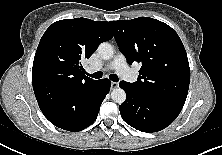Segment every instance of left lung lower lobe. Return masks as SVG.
I'll return each instance as SVG.
<instances>
[{
    "mask_svg": "<svg viewBox=\"0 0 222 155\" xmlns=\"http://www.w3.org/2000/svg\"><path fill=\"white\" fill-rule=\"evenodd\" d=\"M119 86L127 95L126 101L119 106L121 117L139 131H160L169 126L182 110L176 105L141 94L125 81H121Z\"/></svg>",
    "mask_w": 222,
    "mask_h": 155,
    "instance_id": "1",
    "label": "left lung lower lobe"
}]
</instances>
